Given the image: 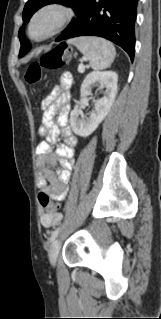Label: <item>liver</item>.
<instances>
[{
  "label": "liver",
  "mask_w": 161,
  "mask_h": 319,
  "mask_svg": "<svg viewBox=\"0 0 161 319\" xmlns=\"http://www.w3.org/2000/svg\"><path fill=\"white\" fill-rule=\"evenodd\" d=\"M39 53V50L36 52V54H38ZM28 59H25L24 61H27Z\"/></svg>",
  "instance_id": "liver-1"
}]
</instances>
